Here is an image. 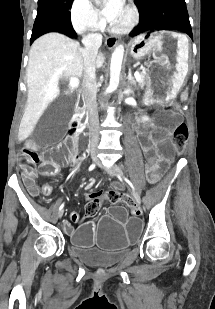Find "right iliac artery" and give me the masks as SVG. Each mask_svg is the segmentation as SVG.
I'll return each instance as SVG.
<instances>
[{
  "instance_id": "obj_1",
  "label": "right iliac artery",
  "mask_w": 215,
  "mask_h": 309,
  "mask_svg": "<svg viewBox=\"0 0 215 309\" xmlns=\"http://www.w3.org/2000/svg\"><path fill=\"white\" fill-rule=\"evenodd\" d=\"M94 167H95V165L92 164V165L89 167V170H93ZM63 207H64V203L59 207V210L61 211V210L63 209Z\"/></svg>"
}]
</instances>
